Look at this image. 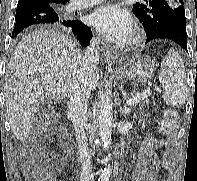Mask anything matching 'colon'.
<instances>
[{
	"instance_id": "5ec220e1",
	"label": "colon",
	"mask_w": 197,
	"mask_h": 181,
	"mask_svg": "<svg viewBox=\"0 0 197 181\" xmlns=\"http://www.w3.org/2000/svg\"><path fill=\"white\" fill-rule=\"evenodd\" d=\"M178 127V113L174 109H167L164 112L162 130L169 136H172ZM49 162L54 167L62 165V158L58 155H52ZM22 170L29 181H51L50 173L45 169L41 154L33 149L25 153L22 162Z\"/></svg>"
}]
</instances>
